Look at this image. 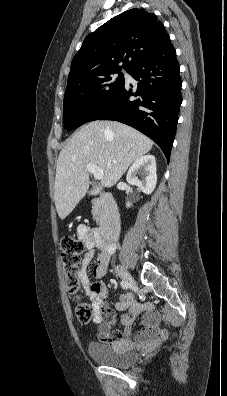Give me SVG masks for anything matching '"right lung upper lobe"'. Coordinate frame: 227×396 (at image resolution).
Returning <instances> with one entry per match:
<instances>
[{"mask_svg":"<svg viewBox=\"0 0 227 396\" xmlns=\"http://www.w3.org/2000/svg\"><path fill=\"white\" fill-rule=\"evenodd\" d=\"M168 42L170 37L155 14L143 9L127 10L85 38L72 61L67 87L122 68L128 71Z\"/></svg>","mask_w":227,"mask_h":396,"instance_id":"1","label":"right lung upper lobe"}]
</instances>
